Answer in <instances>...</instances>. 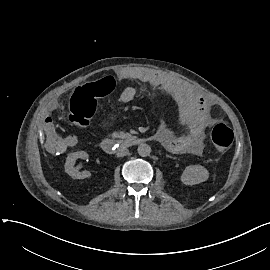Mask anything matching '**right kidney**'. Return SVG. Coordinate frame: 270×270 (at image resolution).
<instances>
[{
	"instance_id": "obj_1",
	"label": "right kidney",
	"mask_w": 270,
	"mask_h": 270,
	"mask_svg": "<svg viewBox=\"0 0 270 270\" xmlns=\"http://www.w3.org/2000/svg\"><path fill=\"white\" fill-rule=\"evenodd\" d=\"M88 153L86 151H78L67 154L65 162V172L68 173L73 179H85L90 178L92 174L89 171L78 172L77 168L74 167L75 161L79 158H87Z\"/></svg>"
}]
</instances>
